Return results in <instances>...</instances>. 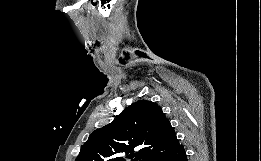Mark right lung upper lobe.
I'll list each match as a JSON object with an SVG mask.
<instances>
[{
    "mask_svg": "<svg viewBox=\"0 0 261 161\" xmlns=\"http://www.w3.org/2000/svg\"><path fill=\"white\" fill-rule=\"evenodd\" d=\"M178 144L162 109L152 101L139 100L126 107L111 123L93 131L81 146L76 161H125L120 155L132 153L135 147L141 149L132 161H148Z\"/></svg>",
    "mask_w": 261,
    "mask_h": 161,
    "instance_id": "right-lung-upper-lobe-1",
    "label": "right lung upper lobe"
}]
</instances>
